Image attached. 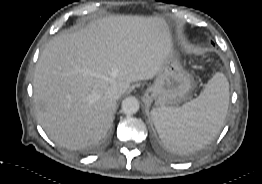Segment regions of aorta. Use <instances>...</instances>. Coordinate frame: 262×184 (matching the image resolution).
Returning <instances> with one entry per match:
<instances>
[{"label": "aorta", "mask_w": 262, "mask_h": 184, "mask_svg": "<svg viewBox=\"0 0 262 184\" xmlns=\"http://www.w3.org/2000/svg\"><path fill=\"white\" fill-rule=\"evenodd\" d=\"M121 108L126 115L135 114L139 110V101L134 96L127 97L122 101Z\"/></svg>", "instance_id": "1"}]
</instances>
